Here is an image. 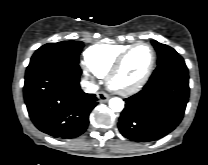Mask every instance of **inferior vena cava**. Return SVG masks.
I'll return each mask as SVG.
<instances>
[{
	"mask_svg": "<svg viewBox=\"0 0 208 165\" xmlns=\"http://www.w3.org/2000/svg\"><path fill=\"white\" fill-rule=\"evenodd\" d=\"M81 86H82L83 90L87 93H95L98 90L97 85L90 83L88 81H85V80H83L81 82Z\"/></svg>",
	"mask_w": 208,
	"mask_h": 165,
	"instance_id": "1",
	"label": "inferior vena cava"
}]
</instances>
